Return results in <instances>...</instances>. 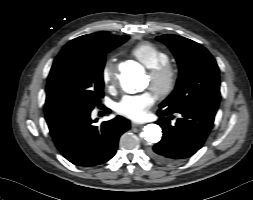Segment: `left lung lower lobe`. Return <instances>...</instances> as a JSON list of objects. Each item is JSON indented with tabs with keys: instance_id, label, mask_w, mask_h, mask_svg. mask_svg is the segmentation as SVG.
Masks as SVG:
<instances>
[{
	"instance_id": "obj_1",
	"label": "left lung lower lobe",
	"mask_w": 253,
	"mask_h": 200,
	"mask_svg": "<svg viewBox=\"0 0 253 200\" xmlns=\"http://www.w3.org/2000/svg\"><path fill=\"white\" fill-rule=\"evenodd\" d=\"M180 114L174 126L173 113L161 109L156 122L163 129L160 142L149 150L152 159L163 164H175L192 156L205 142L214 122L216 110L196 108L176 112Z\"/></svg>"
}]
</instances>
